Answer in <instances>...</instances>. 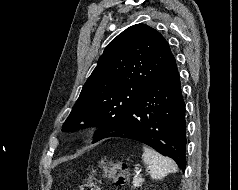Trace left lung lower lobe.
Instances as JSON below:
<instances>
[{"label": "left lung lower lobe", "mask_w": 238, "mask_h": 190, "mask_svg": "<svg viewBox=\"0 0 238 190\" xmlns=\"http://www.w3.org/2000/svg\"><path fill=\"white\" fill-rule=\"evenodd\" d=\"M110 136L140 141L185 170V103L175 58L156 74L118 124L101 139Z\"/></svg>", "instance_id": "1"}]
</instances>
